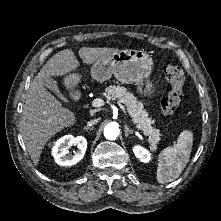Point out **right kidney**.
Masks as SVG:
<instances>
[{"mask_svg": "<svg viewBox=\"0 0 221 221\" xmlns=\"http://www.w3.org/2000/svg\"><path fill=\"white\" fill-rule=\"evenodd\" d=\"M72 145H77L78 151L74 154H69L68 148ZM86 149L87 140L85 137L65 135L54 143L52 155L58 165L72 166L83 159Z\"/></svg>", "mask_w": 221, "mask_h": 221, "instance_id": "1", "label": "right kidney"}]
</instances>
